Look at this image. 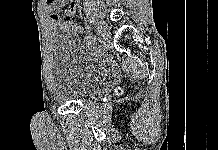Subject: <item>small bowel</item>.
I'll list each match as a JSON object with an SVG mask.
<instances>
[{
    "label": "small bowel",
    "instance_id": "1",
    "mask_svg": "<svg viewBox=\"0 0 218 150\" xmlns=\"http://www.w3.org/2000/svg\"><path fill=\"white\" fill-rule=\"evenodd\" d=\"M80 0H48L46 5V11L49 14L50 26L54 31H79V26H77L72 17L76 13ZM67 3L69 7L64 19L58 17L56 11L63 8Z\"/></svg>",
    "mask_w": 218,
    "mask_h": 150
}]
</instances>
